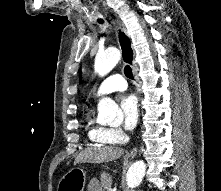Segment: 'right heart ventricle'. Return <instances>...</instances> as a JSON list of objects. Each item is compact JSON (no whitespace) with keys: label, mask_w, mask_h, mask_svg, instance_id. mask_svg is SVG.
<instances>
[{"label":"right heart ventricle","mask_w":221,"mask_h":191,"mask_svg":"<svg viewBox=\"0 0 221 191\" xmlns=\"http://www.w3.org/2000/svg\"><path fill=\"white\" fill-rule=\"evenodd\" d=\"M86 130L87 137L92 144L98 146L114 144L110 137L109 129L93 122L90 118L87 120Z\"/></svg>","instance_id":"obj_1"}]
</instances>
